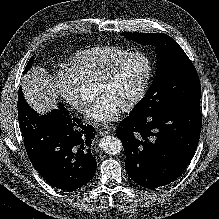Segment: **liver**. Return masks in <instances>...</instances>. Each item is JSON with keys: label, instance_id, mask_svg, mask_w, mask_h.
<instances>
[{"label": "liver", "instance_id": "1", "mask_svg": "<svg viewBox=\"0 0 219 219\" xmlns=\"http://www.w3.org/2000/svg\"><path fill=\"white\" fill-rule=\"evenodd\" d=\"M21 86L26 102L40 115L57 107L58 95L53 79L44 68L33 67L22 77Z\"/></svg>", "mask_w": 219, "mask_h": 219}]
</instances>
